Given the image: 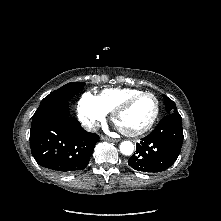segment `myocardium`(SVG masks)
I'll return each mask as SVG.
<instances>
[{"mask_svg": "<svg viewBox=\"0 0 221 221\" xmlns=\"http://www.w3.org/2000/svg\"><path fill=\"white\" fill-rule=\"evenodd\" d=\"M144 96L153 97L155 100V103H156L155 112H154V115L151 118V120L144 127L140 128L136 131H126V130L120 128L118 125V122H117L118 116L123 111H125L128 107H130L136 100H138L139 98L144 97ZM159 114H160V101H159L158 97L154 93H151V92H141V93L135 94V95L125 99L124 101H122L112 111L111 118H112V121L114 122V124L116 126H118L125 135L130 136V137H137V136L145 134L154 126V124L156 123V121L159 117Z\"/></svg>", "mask_w": 221, "mask_h": 221, "instance_id": "1", "label": "myocardium"}]
</instances>
